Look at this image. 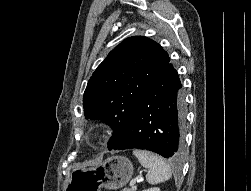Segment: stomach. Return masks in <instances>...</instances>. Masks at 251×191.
I'll return each mask as SVG.
<instances>
[{"label": "stomach", "mask_w": 251, "mask_h": 191, "mask_svg": "<svg viewBox=\"0 0 251 191\" xmlns=\"http://www.w3.org/2000/svg\"><path fill=\"white\" fill-rule=\"evenodd\" d=\"M133 165L128 157L111 155L97 167L73 169L66 191H101L123 187L133 175Z\"/></svg>", "instance_id": "1"}]
</instances>
